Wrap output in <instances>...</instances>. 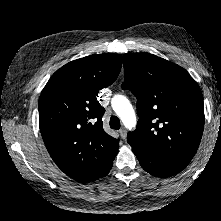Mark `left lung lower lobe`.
I'll use <instances>...</instances> for the list:
<instances>
[{"label":"left lung lower lobe","instance_id":"0a47b994","mask_svg":"<svg viewBox=\"0 0 221 221\" xmlns=\"http://www.w3.org/2000/svg\"><path fill=\"white\" fill-rule=\"evenodd\" d=\"M142 168L154 176L170 177L182 171L187 164L157 154L132 149Z\"/></svg>","mask_w":221,"mask_h":221}]
</instances>
